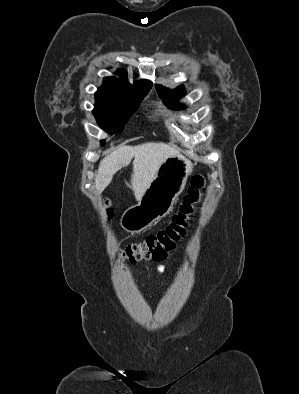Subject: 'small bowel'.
<instances>
[{"instance_id": "small-bowel-1", "label": "small bowel", "mask_w": 299, "mask_h": 394, "mask_svg": "<svg viewBox=\"0 0 299 394\" xmlns=\"http://www.w3.org/2000/svg\"><path fill=\"white\" fill-rule=\"evenodd\" d=\"M164 270H165V266H164V265L160 264V265L157 266V271H158L159 273H163Z\"/></svg>"}]
</instances>
